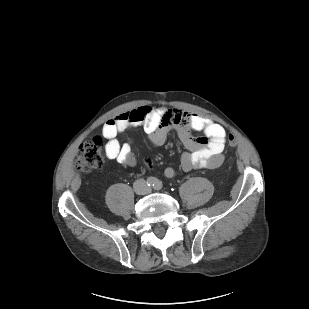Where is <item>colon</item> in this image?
<instances>
[{
  "label": "colon",
  "mask_w": 309,
  "mask_h": 309,
  "mask_svg": "<svg viewBox=\"0 0 309 309\" xmlns=\"http://www.w3.org/2000/svg\"><path fill=\"white\" fill-rule=\"evenodd\" d=\"M237 143L234 135L229 136V145L235 146ZM105 156L103 151V140L95 137L83 143L77 152L75 168L83 173H90L103 167Z\"/></svg>",
  "instance_id": "1"
}]
</instances>
